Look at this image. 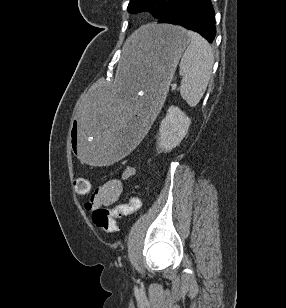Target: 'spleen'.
Returning a JSON list of instances; mask_svg holds the SVG:
<instances>
[{"label":"spleen","instance_id":"1","mask_svg":"<svg viewBox=\"0 0 286 308\" xmlns=\"http://www.w3.org/2000/svg\"><path fill=\"white\" fill-rule=\"evenodd\" d=\"M187 34L190 44L180 62L183 73L180 94L190 107H194L206 91L214 56L209 43L201 35L193 31H187Z\"/></svg>","mask_w":286,"mask_h":308}]
</instances>
